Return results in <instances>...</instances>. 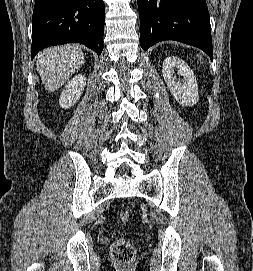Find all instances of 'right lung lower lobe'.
Returning <instances> with one entry per match:
<instances>
[{"mask_svg": "<svg viewBox=\"0 0 253 271\" xmlns=\"http://www.w3.org/2000/svg\"><path fill=\"white\" fill-rule=\"evenodd\" d=\"M104 18L103 0H36L31 59L43 48L72 42L101 54Z\"/></svg>", "mask_w": 253, "mask_h": 271, "instance_id": "obj_1", "label": "right lung lower lobe"}]
</instances>
